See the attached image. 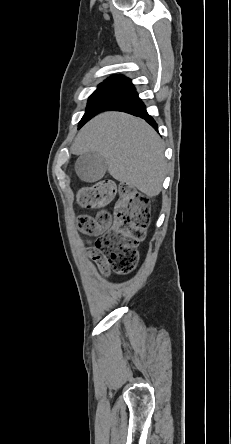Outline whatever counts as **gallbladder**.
Wrapping results in <instances>:
<instances>
[{
	"label": "gallbladder",
	"instance_id": "gallbladder-1",
	"mask_svg": "<svg viewBox=\"0 0 231 444\" xmlns=\"http://www.w3.org/2000/svg\"><path fill=\"white\" fill-rule=\"evenodd\" d=\"M77 175L86 182L101 179L107 170L106 159L97 152H87L78 158L75 164Z\"/></svg>",
	"mask_w": 231,
	"mask_h": 444
}]
</instances>
